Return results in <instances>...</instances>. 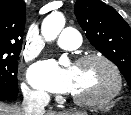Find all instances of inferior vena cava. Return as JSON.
I'll return each mask as SVG.
<instances>
[{
    "mask_svg": "<svg viewBox=\"0 0 131 115\" xmlns=\"http://www.w3.org/2000/svg\"><path fill=\"white\" fill-rule=\"evenodd\" d=\"M22 112L24 115H43L45 106L49 103V97L42 93L24 92Z\"/></svg>",
    "mask_w": 131,
    "mask_h": 115,
    "instance_id": "obj_1",
    "label": "inferior vena cava"
}]
</instances>
